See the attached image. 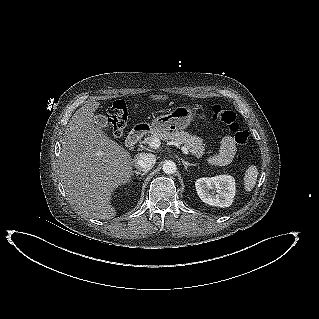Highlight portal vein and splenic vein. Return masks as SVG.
Wrapping results in <instances>:
<instances>
[{"label": "portal vein and splenic vein", "mask_w": 319, "mask_h": 319, "mask_svg": "<svg viewBox=\"0 0 319 319\" xmlns=\"http://www.w3.org/2000/svg\"><path fill=\"white\" fill-rule=\"evenodd\" d=\"M161 145V142L159 139L155 138V139H152L150 142H149V147L152 148V149H157L159 148ZM181 150L182 152L185 154V155H188L189 152H188V149L185 147V146H182L181 147Z\"/></svg>", "instance_id": "18ae733b"}]
</instances>
